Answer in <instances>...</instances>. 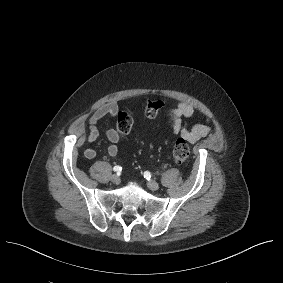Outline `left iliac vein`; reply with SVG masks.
Wrapping results in <instances>:
<instances>
[{
    "instance_id": "4c4485c4",
    "label": "left iliac vein",
    "mask_w": 283,
    "mask_h": 283,
    "mask_svg": "<svg viewBox=\"0 0 283 283\" xmlns=\"http://www.w3.org/2000/svg\"><path fill=\"white\" fill-rule=\"evenodd\" d=\"M147 185L153 191H156L159 189V184L156 181L150 180L148 181Z\"/></svg>"
}]
</instances>
